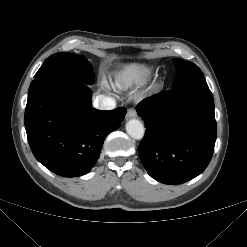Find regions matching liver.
Listing matches in <instances>:
<instances>
[{
  "mask_svg": "<svg viewBox=\"0 0 247 247\" xmlns=\"http://www.w3.org/2000/svg\"><path fill=\"white\" fill-rule=\"evenodd\" d=\"M125 81H133L138 78V72L135 68H128L122 75Z\"/></svg>",
  "mask_w": 247,
  "mask_h": 247,
  "instance_id": "1",
  "label": "liver"
}]
</instances>
